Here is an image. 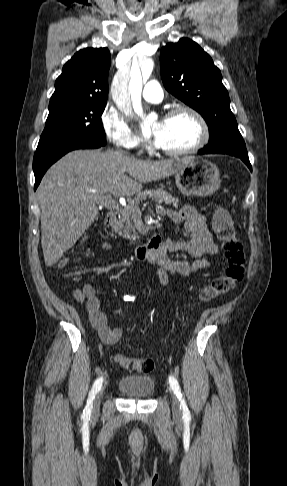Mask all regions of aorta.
I'll use <instances>...</instances> for the list:
<instances>
[{
  "label": "aorta",
  "mask_w": 287,
  "mask_h": 486,
  "mask_svg": "<svg viewBox=\"0 0 287 486\" xmlns=\"http://www.w3.org/2000/svg\"><path fill=\"white\" fill-rule=\"evenodd\" d=\"M154 63L151 59L144 62L142 73L137 62H133L130 73L119 72L112 82V98L118 108L125 114L133 112L143 117V110L140 103L143 77L148 78L153 71ZM143 76V77H142ZM143 126H150L149 117L144 118Z\"/></svg>",
  "instance_id": "1"
}]
</instances>
